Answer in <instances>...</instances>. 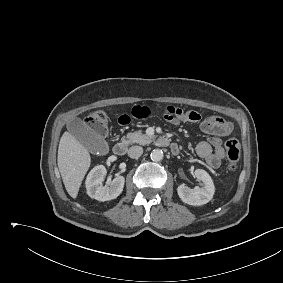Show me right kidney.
<instances>
[{
    "instance_id": "obj_1",
    "label": "right kidney",
    "mask_w": 283,
    "mask_h": 283,
    "mask_svg": "<svg viewBox=\"0 0 283 283\" xmlns=\"http://www.w3.org/2000/svg\"><path fill=\"white\" fill-rule=\"evenodd\" d=\"M107 169L103 165L95 166L86 178V189L89 197L98 201H108L117 198L123 191L125 178L116 176L109 186L102 184Z\"/></svg>"
}]
</instances>
